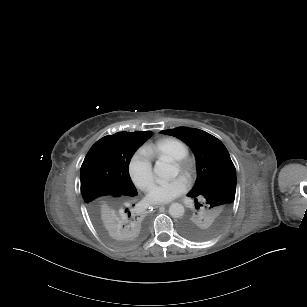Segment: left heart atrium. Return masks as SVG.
Returning <instances> with one entry per match:
<instances>
[{
	"label": "left heart atrium",
	"mask_w": 307,
	"mask_h": 307,
	"mask_svg": "<svg viewBox=\"0 0 307 307\" xmlns=\"http://www.w3.org/2000/svg\"><path fill=\"white\" fill-rule=\"evenodd\" d=\"M186 189V182L182 178H176L170 181H152L145 189L146 198L153 204H165L180 194Z\"/></svg>",
	"instance_id": "1"
}]
</instances>
